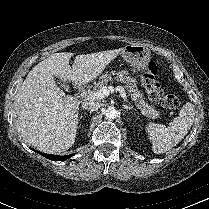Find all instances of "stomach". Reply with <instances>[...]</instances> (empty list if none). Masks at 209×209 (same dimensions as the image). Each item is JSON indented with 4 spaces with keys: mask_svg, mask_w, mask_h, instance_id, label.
I'll list each match as a JSON object with an SVG mask.
<instances>
[{
    "mask_svg": "<svg viewBox=\"0 0 209 209\" xmlns=\"http://www.w3.org/2000/svg\"><path fill=\"white\" fill-rule=\"evenodd\" d=\"M121 53L124 60L131 65L134 71H145L151 60L150 50L140 44L127 45Z\"/></svg>",
    "mask_w": 209,
    "mask_h": 209,
    "instance_id": "1",
    "label": "stomach"
}]
</instances>
